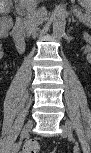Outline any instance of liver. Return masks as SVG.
Returning a JSON list of instances; mask_svg holds the SVG:
<instances>
[{"mask_svg": "<svg viewBox=\"0 0 91 153\" xmlns=\"http://www.w3.org/2000/svg\"><path fill=\"white\" fill-rule=\"evenodd\" d=\"M11 2V0H1V4L6 5L7 8L10 6ZM36 3V0H21V6L29 9L35 7Z\"/></svg>", "mask_w": 91, "mask_h": 153, "instance_id": "obj_1", "label": "liver"}]
</instances>
